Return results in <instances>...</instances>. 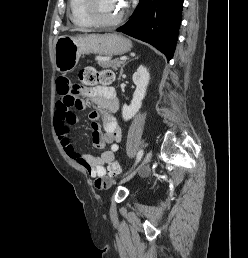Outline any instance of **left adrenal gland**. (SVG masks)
<instances>
[{
  "label": "left adrenal gland",
  "mask_w": 248,
  "mask_h": 258,
  "mask_svg": "<svg viewBox=\"0 0 248 258\" xmlns=\"http://www.w3.org/2000/svg\"><path fill=\"white\" fill-rule=\"evenodd\" d=\"M134 59H138V57H135ZM126 64H127V63H126ZM126 64H124V65L121 67L120 76L123 74V68L125 67Z\"/></svg>",
  "instance_id": "left-adrenal-gland-1"
}]
</instances>
